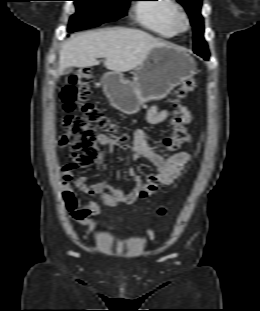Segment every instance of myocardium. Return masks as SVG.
<instances>
[{
    "instance_id": "myocardium-1",
    "label": "myocardium",
    "mask_w": 260,
    "mask_h": 311,
    "mask_svg": "<svg viewBox=\"0 0 260 311\" xmlns=\"http://www.w3.org/2000/svg\"><path fill=\"white\" fill-rule=\"evenodd\" d=\"M171 25L176 33H184L190 29L188 15L178 4L173 9Z\"/></svg>"
}]
</instances>
